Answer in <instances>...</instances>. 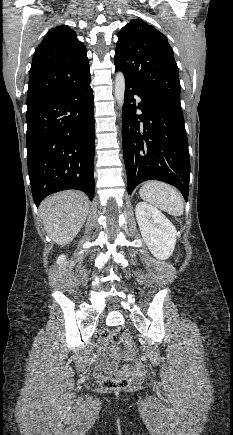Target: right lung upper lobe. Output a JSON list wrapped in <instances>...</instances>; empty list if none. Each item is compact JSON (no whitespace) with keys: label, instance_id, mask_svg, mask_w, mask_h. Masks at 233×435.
Listing matches in <instances>:
<instances>
[{"label":"right lung upper lobe","instance_id":"right-lung-upper-lobe-1","mask_svg":"<svg viewBox=\"0 0 233 435\" xmlns=\"http://www.w3.org/2000/svg\"><path fill=\"white\" fill-rule=\"evenodd\" d=\"M86 52L76 32L67 25L51 29L33 56L27 108L47 100L88 74Z\"/></svg>","mask_w":233,"mask_h":435}]
</instances>
